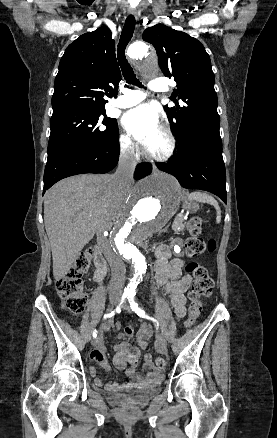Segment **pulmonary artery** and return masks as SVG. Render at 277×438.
I'll list each match as a JSON object with an SVG mask.
<instances>
[{
    "label": "pulmonary artery",
    "instance_id": "e3ab8cb5",
    "mask_svg": "<svg viewBox=\"0 0 277 438\" xmlns=\"http://www.w3.org/2000/svg\"><path fill=\"white\" fill-rule=\"evenodd\" d=\"M173 84V80H163L162 77H155L154 81L148 83V88L152 90H165L166 86H171ZM150 92L148 89L144 91L141 87H124L122 89V94L126 97L121 98L117 101V105L121 108H130L141 101H143L144 94Z\"/></svg>",
    "mask_w": 277,
    "mask_h": 438
}]
</instances>
